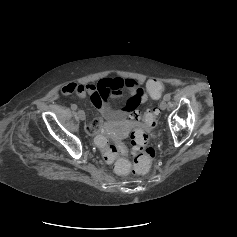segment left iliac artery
<instances>
[{"mask_svg": "<svg viewBox=\"0 0 237 237\" xmlns=\"http://www.w3.org/2000/svg\"><path fill=\"white\" fill-rule=\"evenodd\" d=\"M170 99H171V95L170 94H166L164 96V100L169 101Z\"/></svg>", "mask_w": 237, "mask_h": 237, "instance_id": "1", "label": "left iliac artery"}]
</instances>
